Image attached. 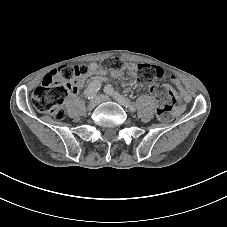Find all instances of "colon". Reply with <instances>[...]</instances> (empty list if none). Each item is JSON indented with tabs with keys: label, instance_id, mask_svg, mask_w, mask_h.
Segmentation results:
<instances>
[{
	"label": "colon",
	"instance_id": "5ec220e1",
	"mask_svg": "<svg viewBox=\"0 0 227 227\" xmlns=\"http://www.w3.org/2000/svg\"><path fill=\"white\" fill-rule=\"evenodd\" d=\"M112 71L121 74L127 70V62L115 59L109 63ZM89 71L87 65H63L47 74L42 83L33 91L31 102L39 112L49 114L56 120L64 117L62 103L70 93L77 91L83 75ZM136 75L143 81L151 82L164 76V70L156 65L137 64ZM151 94L156 101L157 117L161 121L171 118L176 105L174 90L164 84H154L150 88Z\"/></svg>",
	"mask_w": 227,
	"mask_h": 227
}]
</instances>
